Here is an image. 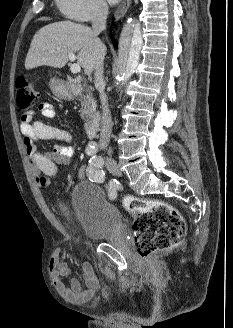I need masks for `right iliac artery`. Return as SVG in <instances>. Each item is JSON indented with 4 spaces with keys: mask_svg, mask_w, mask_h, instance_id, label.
I'll return each mask as SVG.
<instances>
[{
    "mask_svg": "<svg viewBox=\"0 0 233 328\" xmlns=\"http://www.w3.org/2000/svg\"><path fill=\"white\" fill-rule=\"evenodd\" d=\"M97 152V145L95 143H90L86 149V153L89 156L95 155ZM119 183L114 180L111 181L109 186H108V196L110 199H115L117 197V190L119 188Z\"/></svg>",
    "mask_w": 233,
    "mask_h": 328,
    "instance_id": "right-iliac-artery-1",
    "label": "right iliac artery"
}]
</instances>
